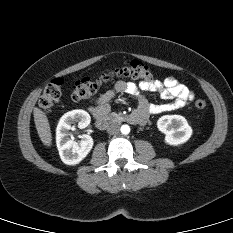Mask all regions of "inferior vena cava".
Returning <instances> with one entry per match:
<instances>
[{
	"mask_svg": "<svg viewBox=\"0 0 233 233\" xmlns=\"http://www.w3.org/2000/svg\"><path fill=\"white\" fill-rule=\"evenodd\" d=\"M120 130V127L118 124H111L108 126L107 128V132L110 134V135H114V134H117Z\"/></svg>",
	"mask_w": 233,
	"mask_h": 233,
	"instance_id": "obj_1",
	"label": "inferior vena cava"
}]
</instances>
